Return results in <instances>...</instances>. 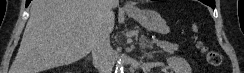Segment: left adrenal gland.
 <instances>
[{"label": "left adrenal gland", "instance_id": "1", "mask_svg": "<svg viewBox=\"0 0 244 73\" xmlns=\"http://www.w3.org/2000/svg\"><path fill=\"white\" fill-rule=\"evenodd\" d=\"M139 46L141 49V52H144L146 48H153V45L148 41V39L145 37V35H141V38L139 39Z\"/></svg>", "mask_w": 244, "mask_h": 73}]
</instances>
